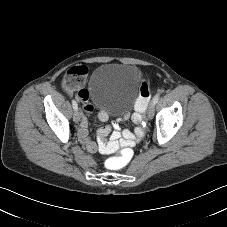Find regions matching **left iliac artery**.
Listing matches in <instances>:
<instances>
[{
  "label": "left iliac artery",
  "instance_id": "left-iliac-artery-1",
  "mask_svg": "<svg viewBox=\"0 0 227 227\" xmlns=\"http://www.w3.org/2000/svg\"><path fill=\"white\" fill-rule=\"evenodd\" d=\"M159 99H160V94H156L155 97L153 98V101L157 103Z\"/></svg>",
  "mask_w": 227,
  "mask_h": 227
}]
</instances>
